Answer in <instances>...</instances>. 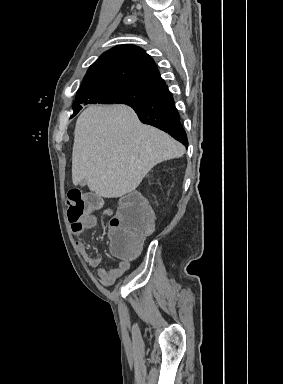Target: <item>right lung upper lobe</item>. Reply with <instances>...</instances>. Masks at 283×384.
<instances>
[{"instance_id":"obj_1","label":"right lung upper lobe","mask_w":283,"mask_h":384,"mask_svg":"<svg viewBox=\"0 0 283 384\" xmlns=\"http://www.w3.org/2000/svg\"><path fill=\"white\" fill-rule=\"evenodd\" d=\"M100 84H123L157 92L165 82L143 49L121 45L106 51L90 66L81 88Z\"/></svg>"}]
</instances>
